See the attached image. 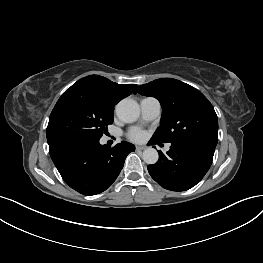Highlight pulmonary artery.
<instances>
[{
  "instance_id": "1",
  "label": "pulmonary artery",
  "mask_w": 263,
  "mask_h": 263,
  "mask_svg": "<svg viewBox=\"0 0 263 263\" xmlns=\"http://www.w3.org/2000/svg\"><path fill=\"white\" fill-rule=\"evenodd\" d=\"M141 120L149 122L157 119L161 114L160 102L153 97H146L140 101ZM169 149V145L166 147Z\"/></svg>"
}]
</instances>
